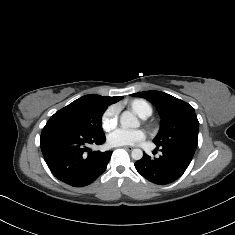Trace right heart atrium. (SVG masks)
Wrapping results in <instances>:
<instances>
[{
  "label": "right heart atrium",
  "mask_w": 235,
  "mask_h": 235,
  "mask_svg": "<svg viewBox=\"0 0 235 235\" xmlns=\"http://www.w3.org/2000/svg\"><path fill=\"white\" fill-rule=\"evenodd\" d=\"M119 107L116 104L108 106L101 116L102 128L106 131L114 129L118 124Z\"/></svg>",
  "instance_id": "right-heart-atrium-1"
}]
</instances>
